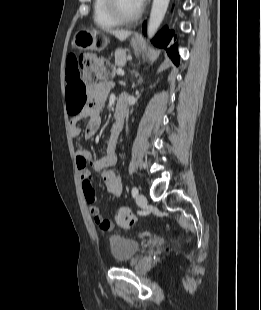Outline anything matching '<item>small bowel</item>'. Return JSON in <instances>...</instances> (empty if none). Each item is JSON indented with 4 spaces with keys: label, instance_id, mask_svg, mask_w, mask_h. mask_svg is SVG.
Wrapping results in <instances>:
<instances>
[{
    "label": "small bowel",
    "instance_id": "small-bowel-1",
    "mask_svg": "<svg viewBox=\"0 0 261 310\" xmlns=\"http://www.w3.org/2000/svg\"><path fill=\"white\" fill-rule=\"evenodd\" d=\"M66 82V103L70 115V133L73 137L79 136L81 124L85 123V135L87 138H91L100 127V112L111 85L108 81L85 84L80 78L79 65L74 55H70L67 60ZM87 96L92 99V104L83 107ZM121 129L122 127L120 130L118 129L116 122L112 125L103 157L92 159L90 151L85 147H79L75 152L82 190L89 205L90 213L99 226L104 222L109 224V228L103 231H110L113 228V223L100 214V210L95 204L96 196L91 182L90 169L101 172L106 189L111 195H121L123 191L122 180L120 175L112 168L117 162V144Z\"/></svg>",
    "mask_w": 261,
    "mask_h": 310
}]
</instances>
